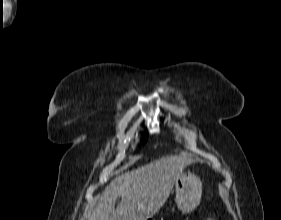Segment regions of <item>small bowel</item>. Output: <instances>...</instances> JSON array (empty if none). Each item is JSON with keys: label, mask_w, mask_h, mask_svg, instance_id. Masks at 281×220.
Listing matches in <instances>:
<instances>
[{"label": "small bowel", "mask_w": 281, "mask_h": 220, "mask_svg": "<svg viewBox=\"0 0 281 220\" xmlns=\"http://www.w3.org/2000/svg\"><path fill=\"white\" fill-rule=\"evenodd\" d=\"M207 220H215V219H207Z\"/></svg>", "instance_id": "1"}]
</instances>
